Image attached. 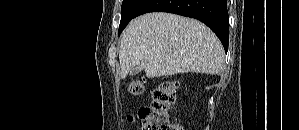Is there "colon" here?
<instances>
[{
    "instance_id": "1",
    "label": "colon",
    "mask_w": 299,
    "mask_h": 130,
    "mask_svg": "<svg viewBox=\"0 0 299 130\" xmlns=\"http://www.w3.org/2000/svg\"><path fill=\"white\" fill-rule=\"evenodd\" d=\"M176 89V82L167 80L153 91L151 105L138 111L142 123L141 130H183L170 119L175 104ZM143 91V80H134L128 85V92L132 95H140Z\"/></svg>"
}]
</instances>
